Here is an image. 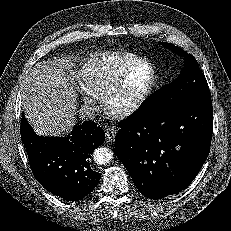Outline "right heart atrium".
Returning <instances> with one entry per match:
<instances>
[{
    "instance_id": "d8ad5b80",
    "label": "right heart atrium",
    "mask_w": 231,
    "mask_h": 231,
    "mask_svg": "<svg viewBox=\"0 0 231 231\" xmlns=\"http://www.w3.org/2000/svg\"><path fill=\"white\" fill-rule=\"evenodd\" d=\"M80 97H81V100H82V102L86 108H90L93 106L95 98L82 89L80 92Z\"/></svg>"
}]
</instances>
